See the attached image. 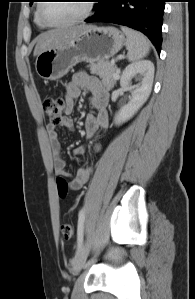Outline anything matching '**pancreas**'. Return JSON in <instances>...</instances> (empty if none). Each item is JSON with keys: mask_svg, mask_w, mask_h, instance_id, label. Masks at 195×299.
Segmentation results:
<instances>
[{"mask_svg": "<svg viewBox=\"0 0 195 299\" xmlns=\"http://www.w3.org/2000/svg\"><path fill=\"white\" fill-rule=\"evenodd\" d=\"M91 74L98 75L102 79V83L111 89L114 87L117 79L114 77L116 66L108 60L99 61L96 64L91 63L89 66Z\"/></svg>", "mask_w": 195, "mask_h": 299, "instance_id": "pancreas-1", "label": "pancreas"}]
</instances>
